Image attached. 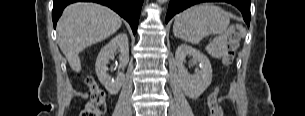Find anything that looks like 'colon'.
Masks as SVG:
<instances>
[{
	"mask_svg": "<svg viewBox=\"0 0 305 116\" xmlns=\"http://www.w3.org/2000/svg\"><path fill=\"white\" fill-rule=\"evenodd\" d=\"M238 35L232 32L229 35V47L223 58L225 64L232 62L236 48ZM87 87L90 91V101L81 111L80 116H102L107 110V101L105 92L98 86L95 80L91 77L86 80ZM208 108L210 116H223V111L219 103L218 91H214L208 97Z\"/></svg>",
	"mask_w": 305,
	"mask_h": 116,
	"instance_id": "obj_1",
	"label": "colon"
}]
</instances>
